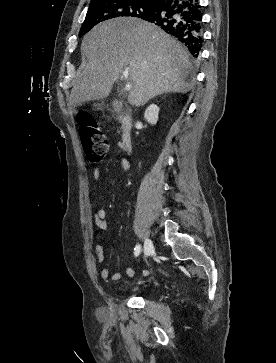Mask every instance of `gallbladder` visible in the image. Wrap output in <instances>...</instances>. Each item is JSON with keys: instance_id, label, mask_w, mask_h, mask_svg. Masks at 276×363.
Here are the masks:
<instances>
[{"instance_id": "gallbladder-1", "label": "gallbladder", "mask_w": 276, "mask_h": 363, "mask_svg": "<svg viewBox=\"0 0 276 363\" xmlns=\"http://www.w3.org/2000/svg\"><path fill=\"white\" fill-rule=\"evenodd\" d=\"M119 101L118 100H114L112 103V107L114 110H117L119 108Z\"/></svg>"}]
</instances>
